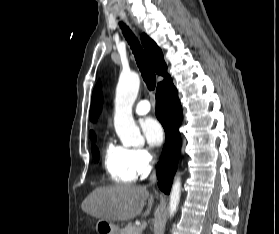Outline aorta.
Instances as JSON below:
<instances>
[{"mask_svg":"<svg viewBox=\"0 0 279 234\" xmlns=\"http://www.w3.org/2000/svg\"><path fill=\"white\" fill-rule=\"evenodd\" d=\"M139 86L140 78L137 73H121L116 88L114 127L121 142L125 146H135L143 142V137L132 115V106L137 98ZM180 194L181 180L177 176L170 193V217L177 210Z\"/></svg>","mask_w":279,"mask_h":234,"instance_id":"1","label":"aorta"}]
</instances>
